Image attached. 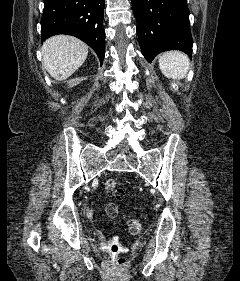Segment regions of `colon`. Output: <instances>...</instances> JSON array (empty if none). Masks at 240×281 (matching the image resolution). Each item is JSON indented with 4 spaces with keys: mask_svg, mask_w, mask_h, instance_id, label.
Returning a JSON list of instances; mask_svg holds the SVG:
<instances>
[{
    "mask_svg": "<svg viewBox=\"0 0 240 281\" xmlns=\"http://www.w3.org/2000/svg\"><path fill=\"white\" fill-rule=\"evenodd\" d=\"M105 190L108 194L113 195L116 199L124 198V191L118 187L113 179H108L105 182ZM105 213L109 218H116L119 210L116 204L109 202L105 205ZM128 229L131 233H138L141 230V223L138 219H131L128 221ZM107 255L109 262L115 267H123L126 264V258L123 256V248L120 243L112 242L107 247Z\"/></svg>",
    "mask_w": 240,
    "mask_h": 281,
    "instance_id": "1",
    "label": "colon"
}]
</instances>
